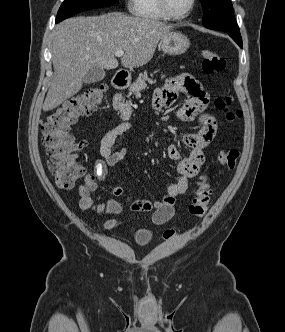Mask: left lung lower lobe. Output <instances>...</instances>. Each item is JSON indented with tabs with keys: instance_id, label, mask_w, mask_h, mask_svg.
Masks as SVG:
<instances>
[{
	"instance_id": "obj_1",
	"label": "left lung lower lobe",
	"mask_w": 285,
	"mask_h": 332,
	"mask_svg": "<svg viewBox=\"0 0 285 332\" xmlns=\"http://www.w3.org/2000/svg\"><path fill=\"white\" fill-rule=\"evenodd\" d=\"M228 33V35L242 48V38L241 35L238 32H231V31H225Z\"/></svg>"
}]
</instances>
